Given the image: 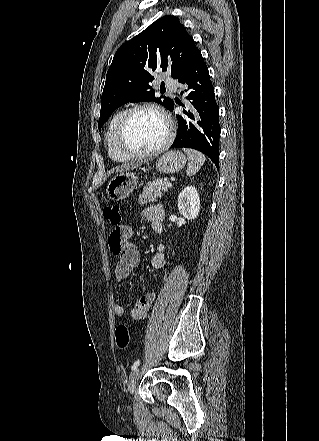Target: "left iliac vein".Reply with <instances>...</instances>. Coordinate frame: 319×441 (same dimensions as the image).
<instances>
[{"label":"left iliac vein","instance_id":"1","mask_svg":"<svg viewBox=\"0 0 319 441\" xmlns=\"http://www.w3.org/2000/svg\"><path fill=\"white\" fill-rule=\"evenodd\" d=\"M139 373H140L139 369L136 368L130 374V378H129V382H128V391L130 393H133L136 388L137 382L139 380Z\"/></svg>","mask_w":319,"mask_h":441}]
</instances>
